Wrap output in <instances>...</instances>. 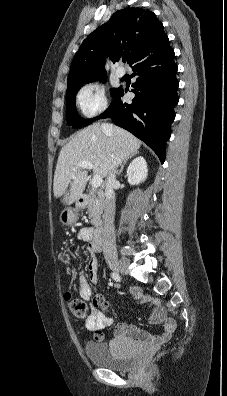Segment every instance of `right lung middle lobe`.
Masks as SVG:
<instances>
[{
  "label": "right lung middle lobe",
  "instance_id": "1",
  "mask_svg": "<svg viewBox=\"0 0 227 396\" xmlns=\"http://www.w3.org/2000/svg\"><path fill=\"white\" fill-rule=\"evenodd\" d=\"M95 80H99L101 82H106V75L93 78L90 80L82 81L70 89L67 90V96H66V105H67V122L68 125L73 126V128H80L83 126H88L91 124L96 118L93 119H83L80 117V115L76 111L75 107V98L78 90L81 88L82 84L92 82ZM119 88H113L111 89V94L114 96V94L117 92Z\"/></svg>",
  "mask_w": 227,
  "mask_h": 396
}]
</instances>
